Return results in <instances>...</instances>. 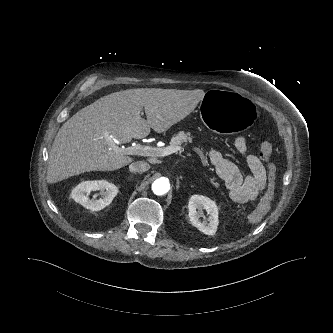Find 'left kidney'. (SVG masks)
<instances>
[{"label": "left kidney", "mask_w": 333, "mask_h": 333, "mask_svg": "<svg viewBox=\"0 0 333 333\" xmlns=\"http://www.w3.org/2000/svg\"><path fill=\"white\" fill-rule=\"evenodd\" d=\"M189 219L193 226L206 235H214L218 226V208L214 201L202 195L191 196L188 204ZM206 210L208 217L207 221H200L202 210Z\"/></svg>", "instance_id": "5707ae66"}]
</instances>
